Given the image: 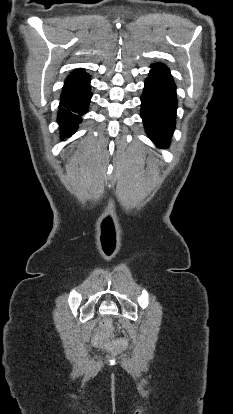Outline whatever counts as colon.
<instances>
[{
	"label": "colon",
	"instance_id": "obj_1",
	"mask_svg": "<svg viewBox=\"0 0 233 414\" xmlns=\"http://www.w3.org/2000/svg\"><path fill=\"white\" fill-rule=\"evenodd\" d=\"M111 328H112L111 321L109 319L103 320L102 326H101V333L95 339L96 346L105 347L110 350L116 349L118 347V344H115V343L107 344L103 341V338L111 332Z\"/></svg>",
	"mask_w": 233,
	"mask_h": 414
}]
</instances>
